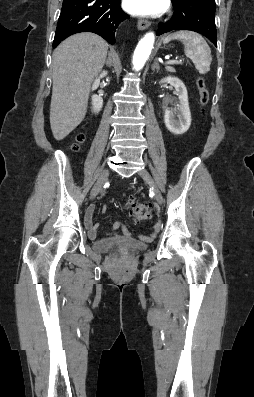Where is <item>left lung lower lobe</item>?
Wrapping results in <instances>:
<instances>
[{
    "label": "left lung lower lobe",
    "mask_w": 254,
    "mask_h": 397,
    "mask_svg": "<svg viewBox=\"0 0 254 397\" xmlns=\"http://www.w3.org/2000/svg\"><path fill=\"white\" fill-rule=\"evenodd\" d=\"M174 14L158 25L157 36L171 30H192L206 36L217 47L215 0H171Z\"/></svg>",
    "instance_id": "obj_1"
}]
</instances>
